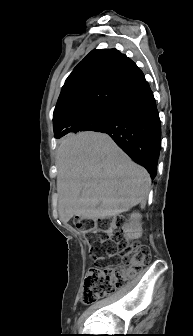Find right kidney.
I'll list each match as a JSON object with an SVG mask.
<instances>
[{
  "mask_svg": "<svg viewBox=\"0 0 193 336\" xmlns=\"http://www.w3.org/2000/svg\"><path fill=\"white\" fill-rule=\"evenodd\" d=\"M141 214L138 212L132 213L129 222L123 227V232L128 239H137L142 235Z\"/></svg>",
  "mask_w": 193,
  "mask_h": 336,
  "instance_id": "right-kidney-1",
  "label": "right kidney"
}]
</instances>
